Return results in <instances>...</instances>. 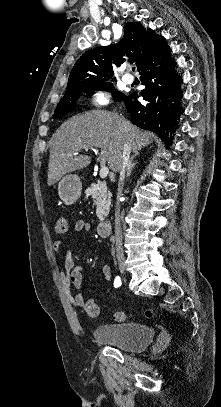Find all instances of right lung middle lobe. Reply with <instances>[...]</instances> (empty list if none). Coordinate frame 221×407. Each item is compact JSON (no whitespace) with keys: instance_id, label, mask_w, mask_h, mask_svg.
<instances>
[{"instance_id":"dd1d6c3e","label":"right lung middle lobe","mask_w":221,"mask_h":407,"mask_svg":"<svg viewBox=\"0 0 221 407\" xmlns=\"http://www.w3.org/2000/svg\"><path fill=\"white\" fill-rule=\"evenodd\" d=\"M98 90L112 91V84L107 82L90 88H83L66 92L63 98L60 100L53 116L62 117L66 115L76 107V102L79 98V95H81L82 93H92ZM113 96L115 97V101H119V99L123 97L124 94L113 92Z\"/></svg>"}]
</instances>
